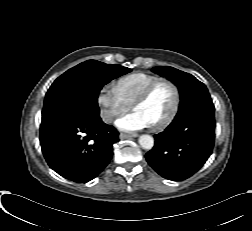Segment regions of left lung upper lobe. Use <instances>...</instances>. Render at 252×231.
I'll use <instances>...</instances> for the list:
<instances>
[{"mask_svg":"<svg viewBox=\"0 0 252 231\" xmlns=\"http://www.w3.org/2000/svg\"><path fill=\"white\" fill-rule=\"evenodd\" d=\"M152 70L177 85L181 97L179 109L194 102L212 101L206 86L191 74L169 66H157Z\"/></svg>","mask_w":252,"mask_h":231,"instance_id":"left-lung-upper-lobe-1","label":"left lung upper lobe"}]
</instances>
